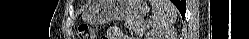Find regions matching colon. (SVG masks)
<instances>
[{
    "label": "colon",
    "mask_w": 249,
    "mask_h": 39,
    "mask_svg": "<svg viewBox=\"0 0 249 39\" xmlns=\"http://www.w3.org/2000/svg\"><path fill=\"white\" fill-rule=\"evenodd\" d=\"M77 35L80 39H95L97 38L96 31L87 24H81L77 28Z\"/></svg>",
    "instance_id": "colon-1"
}]
</instances>
